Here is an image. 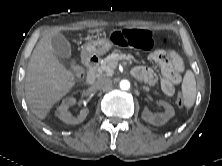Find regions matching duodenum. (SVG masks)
I'll list each match as a JSON object with an SVG mask.
<instances>
[{
    "label": "duodenum",
    "instance_id": "obj_1",
    "mask_svg": "<svg viewBox=\"0 0 222 166\" xmlns=\"http://www.w3.org/2000/svg\"><path fill=\"white\" fill-rule=\"evenodd\" d=\"M83 62L88 70L86 83L87 85L92 86L97 78V69L100 64V59L97 55L88 53L84 55Z\"/></svg>",
    "mask_w": 222,
    "mask_h": 166
}]
</instances>
